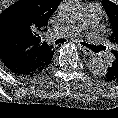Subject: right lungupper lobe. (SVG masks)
I'll return each mask as SVG.
<instances>
[{
	"instance_id": "obj_1",
	"label": "right lung upper lobe",
	"mask_w": 118,
	"mask_h": 118,
	"mask_svg": "<svg viewBox=\"0 0 118 118\" xmlns=\"http://www.w3.org/2000/svg\"><path fill=\"white\" fill-rule=\"evenodd\" d=\"M62 0H19L0 14V58L30 57L40 71L51 63L52 46L42 41Z\"/></svg>"
}]
</instances>
